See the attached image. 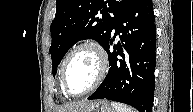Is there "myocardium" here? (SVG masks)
<instances>
[{"instance_id": "f54148a6", "label": "myocardium", "mask_w": 193, "mask_h": 112, "mask_svg": "<svg viewBox=\"0 0 193 112\" xmlns=\"http://www.w3.org/2000/svg\"><path fill=\"white\" fill-rule=\"evenodd\" d=\"M82 49H90L92 50L97 59H98V72L96 75V78L94 82L91 84L90 87H88L86 90L80 92V93H73L70 91L67 80H66V71H67V66L68 63L71 59V57L78 51ZM108 71V57L107 53L105 52L104 48L96 41L93 40H87L84 42H81L77 45H75L65 56L63 62H62V67H61V84L63 87V90L66 95L71 96V97H80L84 96L92 91H94L104 80L106 74Z\"/></svg>"}]
</instances>
